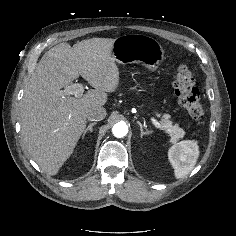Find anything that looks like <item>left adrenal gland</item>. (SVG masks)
<instances>
[{
    "instance_id": "left-adrenal-gland-1",
    "label": "left adrenal gland",
    "mask_w": 236,
    "mask_h": 236,
    "mask_svg": "<svg viewBox=\"0 0 236 236\" xmlns=\"http://www.w3.org/2000/svg\"><path fill=\"white\" fill-rule=\"evenodd\" d=\"M137 123L139 124V126H140V132H141V137H143L144 135H147V134H149V131H144L143 130V126H142V124L139 122V121H137Z\"/></svg>"
}]
</instances>
